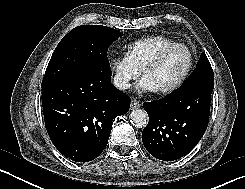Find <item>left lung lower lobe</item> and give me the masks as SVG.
<instances>
[{
    "label": "left lung lower lobe",
    "mask_w": 245,
    "mask_h": 189,
    "mask_svg": "<svg viewBox=\"0 0 245 189\" xmlns=\"http://www.w3.org/2000/svg\"><path fill=\"white\" fill-rule=\"evenodd\" d=\"M212 91L202 84H189L143 104L149 122L142 141L153 157L176 160L198 144L208 125Z\"/></svg>",
    "instance_id": "left-lung-lower-lobe-1"
}]
</instances>
